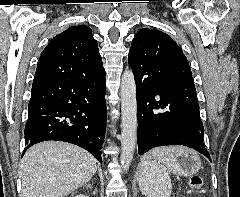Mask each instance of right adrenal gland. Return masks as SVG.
<instances>
[{"label":"right adrenal gland","mask_w":240,"mask_h":197,"mask_svg":"<svg viewBox=\"0 0 240 197\" xmlns=\"http://www.w3.org/2000/svg\"><path fill=\"white\" fill-rule=\"evenodd\" d=\"M86 187H88V188L92 189V186H91V184H88V185H86Z\"/></svg>","instance_id":"1"}]
</instances>
